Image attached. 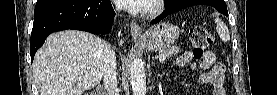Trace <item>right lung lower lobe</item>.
Masks as SVG:
<instances>
[{
	"mask_svg": "<svg viewBox=\"0 0 277 95\" xmlns=\"http://www.w3.org/2000/svg\"><path fill=\"white\" fill-rule=\"evenodd\" d=\"M114 15L115 12L110 0H46L37 2L31 33V61L49 34L65 29L106 34L111 29Z\"/></svg>",
	"mask_w": 277,
	"mask_h": 95,
	"instance_id": "1",
	"label": "right lung lower lobe"
}]
</instances>
